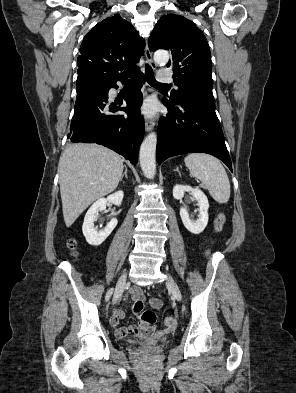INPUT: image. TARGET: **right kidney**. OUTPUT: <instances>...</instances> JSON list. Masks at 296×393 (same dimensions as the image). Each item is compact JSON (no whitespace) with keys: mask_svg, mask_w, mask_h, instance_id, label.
I'll return each instance as SVG.
<instances>
[{"mask_svg":"<svg viewBox=\"0 0 296 393\" xmlns=\"http://www.w3.org/2000/svg\"><path fill=\"white\" fill-rule=\"evenodd\" d=\"M123 196V191H117L109 195L107 198L98 199L89 208L85 215L84 223L82 226L83 235L85 236L88 244L92 246H99L114 230L118 223L116 218H112L110 222L107 223L106 227L101 231H97V229L94 227V222L97 220L98 213L104 211L108 203L120 206L123 200Z\"/></svg>","mask_w":296,"mask_h":393,"instance_id":"right-kidney-1","label":"right kidney"}]
</instances>
